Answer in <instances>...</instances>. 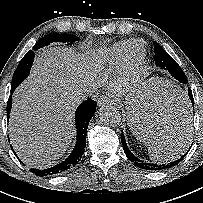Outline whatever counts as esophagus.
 <instances>
[{
    "mask_svg": "<svg viewBox=\"0 0 203 203\" xmlns=\"http://www.w3.org/2000/svg\"><path fill=\"white\" fill-rule=\"evenodd\" d=\"M112 102H113V100L109 96H100L97 100V105L99 107H102V106L108 105Z\"/></svg>",
    "mask_w": 203,
    "mask_h": 203,
    "instance_id": "obj_1",
    "label": "esophagus"
}]
</instances>
